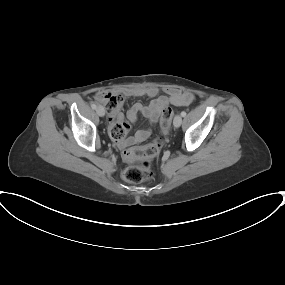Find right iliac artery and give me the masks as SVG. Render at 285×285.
Here are the masks:
<instances>
[{"label": "right iliac artery", "instance_id": "right-iliac-artery-1", "mask_svg": "<svg viewBox=\"0 0 285 285\" xmlns=\"http://www.w3.org/2000/svg\"><path fill=\"white\" fill-rule=\"evenodd\" d=\"M91 107H92V109H96V104L95 103H93V104H91Z\"/></svg>", "mask_w": 285, "mask_h": 285}]
</instances>
